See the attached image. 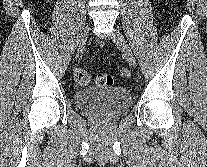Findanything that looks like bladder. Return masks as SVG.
<instances>
[{"label":"bladder","mask_w":207,"mask_h":167,"mask_svg":"<svg viewBox=\"0 0 207 167\" xmlns=\"http://www.w3.org/2000/svg\"><path fill=\"white\" fill-rule=\"evenodd\" d=\"M75 105L94 116H117L131 105V95L124 87L85 88L74 93Z\"/></svg>","instance_id":"31cf9c89"}]
</instances>
